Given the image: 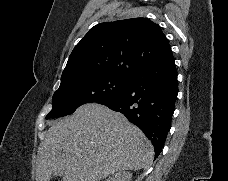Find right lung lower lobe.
Returning <instances> with one entry per match:
<instances>
[{
	"mask_svg": "<svg viewBox=\"0 0 228 181\" xmlns=\"http://www.w3.org/2000/svg\"><path fill=\"white\" fill-rule=\"evenodd\" d=\"M177 94V71L171 53L140 69L117 98L102 104L137 125L153 143L157 158L170 129Z\"/></svg>",
	"mask_w": 228,
	"mask_h": 181,
	"instance_id": "1",
	"label": "right lung lower lobe"
}]
</instances>
